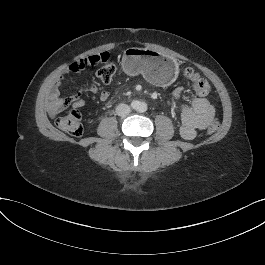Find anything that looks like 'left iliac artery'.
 <instances>
[{"label":"left iliac artery","mask_w":265,"mask_h":265,"mask_svg":"<svg viewBox=\"0 0 265 265\" xmlns=\"http://www.w3.org/2000/svg\"><path fill=\"white\" fill-rule=\"evenodd\" d=\"M141 108H142V109H144V108H145V105H144V104H142Z\"/></svg>","instance_id":"left-iliac-artery-1"}]
</instances>
